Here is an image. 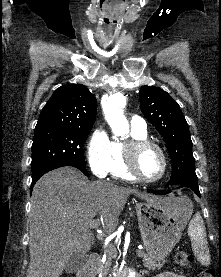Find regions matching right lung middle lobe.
I'll return each instance as SVG.
<instances>
[{"instance_id": "1", "label": "right lung middle lobe", "mask_w": 221, "mask_h": 277, "mask_svg": "<svg viewBox=\"0 0 221 277\" xmlns=\"http://www.w3.org/2000/svg\"><path fill=\"white\" fill-rule=\"evenodd\" d=\"M92 128H35L32 144V179L62 166L86 170L83 146Z\"/></svg>"}]
</instances>
